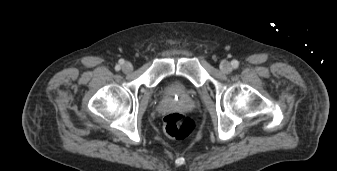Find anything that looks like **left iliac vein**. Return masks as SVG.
Here are the masks:
<instances>
[{
    "mask_svg": "<svg viewBox=\"0 0 337 171\" xmlns=\"http://www.w3.org/2000/svg\"><path fill=\"white\" fill-rule=\"evenodd\" d=\"M220 69L223 73H230L232 71V66H231L230 62L223 61L220 64Z\"/></svg>",
    "mask_w": 337,
    "mask_h": 171,
    "instance_id": "obj_1",
    "label": "left iliac vein"
}]
</instances>
